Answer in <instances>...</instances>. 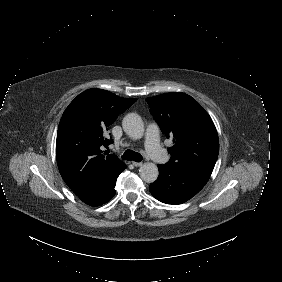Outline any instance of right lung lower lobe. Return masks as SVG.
<instances>
[{"mask_svg":"<svg viewBox=\"0 0 282 282\" xmlns=\"http://www.w3.org/2000/svg\"><path fill=\"white\" fill-rule=\"evenodd\" d=\"M125 168L126 165L118 171H114L95 179L86 191L78 195L79 198L90 206H100L108 202L115 195L114 187L117 177Z\"/></svg>","mask_w":282,"mask_h":282,"instance_id":"right-lung-lower-lobe-1","label":"right lung lower lobe"}]
</instances>
